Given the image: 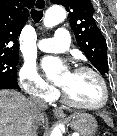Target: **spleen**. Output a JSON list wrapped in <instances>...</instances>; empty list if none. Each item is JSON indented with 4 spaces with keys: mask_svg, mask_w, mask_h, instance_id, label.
Returning a JSON list of instances; mask_svg holds the SVG:
<instances>
[{
    "mask_svg": "<svg viewBox=\"0 0 117 136\" xmlns=\"http://www.w3.org/2000/svg\"><path fill=\"white\" fill-rule=\"evenodd\" d=\"M105 121H106V123L109 125V126H111V127H113V122H112V120L110 119V118H105Z\"/></svg>",
    "mask_w": 117,
    "mask_h": 136,
    "instance_id": "3e777b00",
    "label": "spleen"
}]
</instances>
